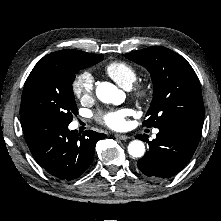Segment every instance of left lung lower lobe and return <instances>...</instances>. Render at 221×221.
Wrapping results in <instances>:
<instances>
[{
    "label": "left lung lower lobe",
    "instance_id": "1",
    "mask_svg": "<svg viewBox=\"0 0 221 221\" xmlns=\"http://www.w3.org/2000/svg\"><path fill=\"white\" fill-rule=\"evenodd\" d=\"M203 120L183 118L159 127L156 139L148 142L149 150L137 162L139 170L153 179L176 175L186 166L198 146ZM136 138L143 140L144 135Z\"/></svg>",
    "mask_w": 221,
    "mask_h": 221
}]
</instances>
